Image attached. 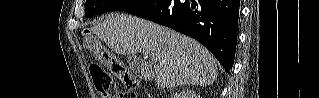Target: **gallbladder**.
<instances>
[{"instance_id":"1","label":"gallbladder","mask_w":319,"mask_h":98,"mask_svg":"<svg viewBox=\"0 0 319 98\" xmlns=\"http://www.w3.org/2000/svg\"><path fill=\"white\" fill-rule=\"evenodd\" d=\"M138 63H139V62H138V60H137L135 57H132V56H129V57H128L129 67H130L133 71H135V72H137L138 69H139Z\"/></svg>"}]
</instances>
